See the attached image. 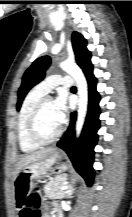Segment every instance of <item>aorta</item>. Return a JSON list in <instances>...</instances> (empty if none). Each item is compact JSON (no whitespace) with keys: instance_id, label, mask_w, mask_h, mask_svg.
Listing matches in <instances>:
<instances>
[{"instance_id":"obj_1","label":"aorta","mask_w":132,"mask_h":217,"mask_svg":"<svg viewBox=\"0 0 132 217\" xmlns=\"http://www.w3.org/2000/svg\"><path fill=\"white\" fill-rule=\"evenodd\" d=\"M60 67L62 70L71 75L76 81L77 89H78V111H77V121H76V137L80 136L82 131L88 107V85L86 78L82 72V70L78 67V65L74 62L64 61L60 63Z\"/></svg>"}]
</instances>
